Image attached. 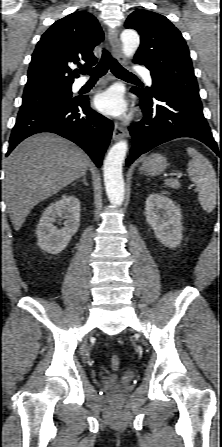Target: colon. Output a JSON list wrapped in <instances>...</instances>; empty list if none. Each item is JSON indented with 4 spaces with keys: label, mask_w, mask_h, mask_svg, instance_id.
Instances as JSON below:
<instances>
[{
    "label": "colon",
    "mask_w": 222,
    "mask_h": 447,
    "mask_svg": "<svg viewBox=\"0 0 222 447\" xmlns=\"http://www.w3.org/2000/svg\"><path fill=\"white\" fill-rule=\"evenodd\" d=\"M110 362H111V367H112L113 369H118V368H119V365H120V357H119L118 355H113V356L111 357Z\"/></svg>",
    "instance_id": "colon-1"
}]
</instances>
